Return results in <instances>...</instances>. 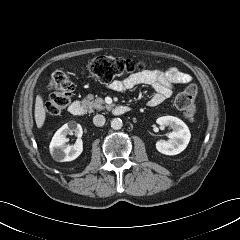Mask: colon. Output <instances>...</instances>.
<instances>
[{"mask_svg": "<svg viewBox=\"0 0 240 240\" xmlns=\"http://www.w3.org/2000/svg\"><path fill=\"white\" fill-rule=\"evenodd\" d=\"M144 69L145 65L142 62L110 56H99L89 63V72L92 77L105 84L122 76L142 72ZM49 88L53 90V94L46 103L45 112L48 116H58L71 101L75 85L65 72L56 70L50 75ZM197 94V87L191 84L180 92L175 100L177 108L190 121L195 119L197 113L195 103Z\"/></svg>", "mask_w": 240, "mask_h": 240, "instance_id": "colon-1", "label": "colon"}]
</instances>
